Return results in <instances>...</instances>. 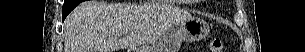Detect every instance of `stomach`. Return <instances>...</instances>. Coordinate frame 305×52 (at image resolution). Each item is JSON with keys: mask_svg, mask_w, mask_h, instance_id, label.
<instances>
[{"mask_svg": "<svg viewBox=\"0 0 305 52\" xmlns=\"http://www.w3.org/2000/svg\"><path fill=\"white\" fill-rule=\"evenodd\" d=\"M209 26L203 19L188 18L179 27L168 29L136 51L128 52H177L183 41L196 42L207 36Z\"/></svg>", "mask_w": 305, "mask_h": 52, "instance_id": "0dacf381", "label": "stomach"}]
</instances>
